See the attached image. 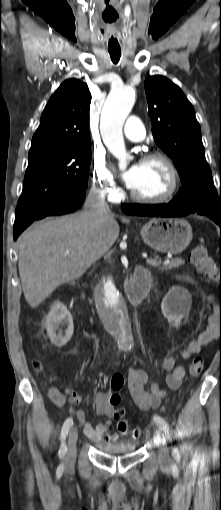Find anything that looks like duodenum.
<instances>
[{
	"label": "duodenum",
	"mask_w": 221,
	"mask_h": 510,
	"mask_svg": "<svg viewBox=\"0 0 221 510\" xmlns=\"http://www.w3.org/2000/svg\"><path fill=\"white\" fill-rule=\"evenodd\" d=\"M151 274L145 268H138L126 286V294L131 305H137L149 292Z\"/></svg>",
	"instance_id": "duodenum-1"
}]
</instances>
